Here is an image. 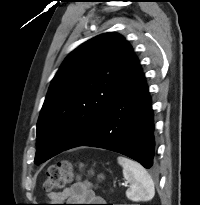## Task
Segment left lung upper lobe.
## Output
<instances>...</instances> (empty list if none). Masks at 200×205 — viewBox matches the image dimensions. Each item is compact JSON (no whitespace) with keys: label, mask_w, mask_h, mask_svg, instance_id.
<instances>
[{"label":"left lung upper lobe","mask_w":200,"mask_h":205,"mask_svg":"<svg viewBox=\"0 0 200 205\" xmlns=\"http://www.w3.org/2000/svg\"><path fill=\"white\" fill-rule=\"evenodd\" d=\"M133 56L119 34L71 52L54 76L37 122L35 163L82 144L105 114Z\"/></svg>","instance_id":"5c2ea615"}]
</instances>
